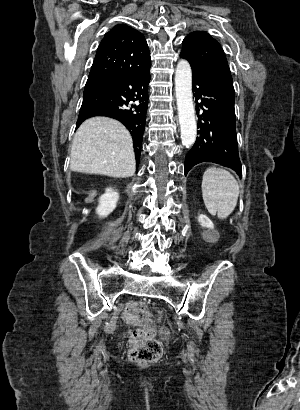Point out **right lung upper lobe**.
I'll return each mask as SVG.
<instances>
[{
	"label": "right lung upper lobe",
	"mask_w": 300,
	"mask_h": 410,
	"mask_svg": "<svg viewBox=\"0 0 300 410\" xmlns=\"http://www.w3.org/2000/svg\"><path fill=\"white\" fill-rule=\"evenodd\" d=\"M151 66L150 52L144 36L134 28L118 24L102 39L88 77L89 83L105 82L129 71ZM141 147L135 148V155Z\"/></svg>",
	"instance_id": "right-lung-upper-lobe-1"
}]
</instances>
